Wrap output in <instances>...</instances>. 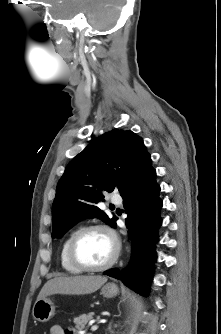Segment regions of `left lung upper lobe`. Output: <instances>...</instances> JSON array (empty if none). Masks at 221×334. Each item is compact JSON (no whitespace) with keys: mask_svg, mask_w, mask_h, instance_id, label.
Here are the masks:
<instances>
[{"mask_svg":"<svg viewBox=\"0 0 221 334\" xmlns=\"http://www.w3.org/2000/svg\"><path fill=\"white\" fill-rule=\"evenodd\" d=\"M151 161L141 137L131 130H114L94 140L66 167L52 205L53 238H61L82 219L98 217L113 227L96 205L104 191L120 194Z\"/></svg>","mask_w":221,"mask_h":334,"instance_id":"1","label":"left lung upper lobe"}]
</instances>
